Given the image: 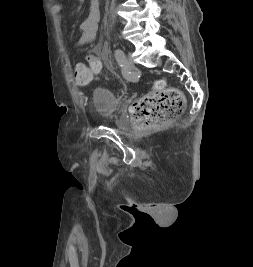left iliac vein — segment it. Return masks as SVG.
I'll list each match as a JSON object with an SVG mask.
<instances>
[{"label":"left iliac vein","instance_id":"obj_1","mask_svg":"<svg viewBox=\"0 0 253 267\" xmlns=\"http://www.w3.org/2000/svg\"><path fill=\"white\" fill-rule=\"evenodd\" d=\"M116 51L119 54L121 53V50L120 49H116ZM121 55H124V57H125L126 70L128 72H130V73H133V69H134V62H133V60L131 58H127L123 51H122Z\"/></svg>","mask_w":253,"mask_h":267}]
</instances>
